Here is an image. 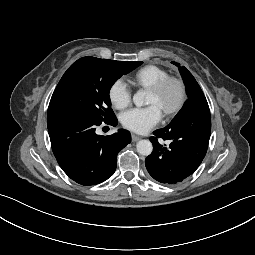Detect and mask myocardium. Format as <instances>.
<instances>
[{
	"mask_svg": "<svg viewBox=\"0 0 255 255\" xmlns=\"http://www.w3.org/2000/svg\"><path fill=\"white\" fill-rule=\"evenodd\" d=\"M171 84H175L178 87L179 96L176 103L172 107L163 111L166 116L176 114L184 105L187 98V89L184 81L175 76H168L148 89L150 92L159 94Z\"/></svg>",
	"mask_w": 255,
	"mask_h": 255,
	"instance_id": "obj_1",
	"label": "myocardium"
}]
</instances>
